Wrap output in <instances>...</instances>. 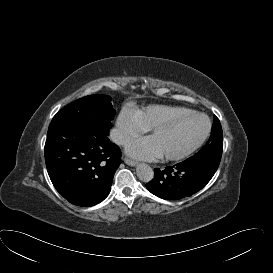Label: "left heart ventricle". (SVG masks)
Here are the masks:
<instances>
[{
	"label": "left heart ventricle",
	"mask_w": 273,
	"mask_h": 273,
	"mask_svg": "<svg viewBox=\"0 0 273 273\" xmlns=\"http://www.w3.org/2000/svg\"><path fill=\"white\" fill-rule=\"evenodd\" d=\"M205 128L203 119L191 118L158 132L153 139L157 149L163 153L176 154L193 145Z\"/></svg>",
	"instance_id": "b2bd125f"
}]
</instances>
